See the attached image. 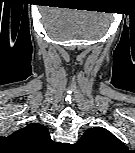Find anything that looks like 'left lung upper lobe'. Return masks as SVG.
Returning a JSON list of instances; mask_svg holds the SVG:
<instances>
[{
  "mask_svg": "<svg viewBox=\"0 0 135 153\" xmlns=\"http://www.w3.org/2000/svg\"><path fill=\"white\" fill-rule=\"evenodd\" d=\"M77 145L90 153H122L125 145L103 127L86 130Z\"/></svg>",
  "mask_w": 135,
  "mask_h": 153,
  "instance_id": "obj_1",
  "label": "left lung upper lobe"
}]
</instances>
